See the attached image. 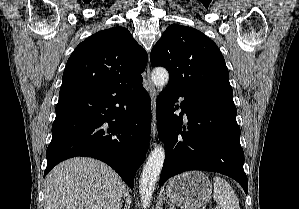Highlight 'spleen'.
Masks as SVG:
<instances>
[{"instance_id":"spleen-1","label":"spleen","mask_w":299,"mask_h":209,"mask_svg":"<svg viewBox=\"0 0 299 209\" xmlns=\"http://www.w3.org/2000/svg\"><path fill=\"white\" fill-rule=\"evenodd\" d=\"M213 198L222 209H240L239 200L230 184L218 176L213 178Z\"/></svg>"}]
</instances>
